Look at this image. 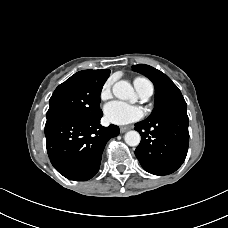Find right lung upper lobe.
<instances>
[{"mask_svg":"<svg viewBox=\"0 0 228 228\" xmlns=\"http://www.w3.org/2000/svg\"><path fill=\"white\" fill-rule=\"evenodd\" d=\"M103 70H83L80 72H77L74 74L78 77H84V78H93L95 76H98Z\"/></svg>","mask_w":228,"mask_h":228,"instance_id":"obj_1","label":"right lung upper lobe"}]
</instances>
